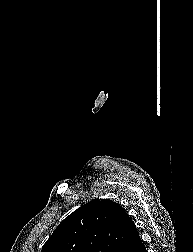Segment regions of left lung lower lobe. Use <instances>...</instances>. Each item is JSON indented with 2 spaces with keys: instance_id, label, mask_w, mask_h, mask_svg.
Masks as SVG:
<instances>
[{
  "instance_id": "obj_1",
  "label": "left lung lower lobe",
  "mask_w": 193,
  "mask_h": 252,
  "mask_svg": "<svg viewBox=\"0 0 193 252\" xmlns=\"http://www.w3.org/2000/svg\"><path fill=\"white\" fill-rule=\"evenodd\" d=\"M122 252H147L137 230L133 233L132 237L130 238L129 242Z\"/></svg>"
}]
</instances>
